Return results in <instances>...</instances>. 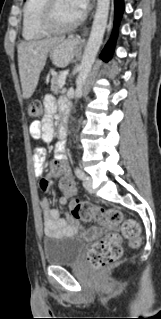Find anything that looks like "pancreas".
Returning <instances> with one entry per match:
<instances>
[{"mask_svg":"<svg viewBox=\"0 0 161 319\" xmlns=\"http://www.w3.org/2000/svg\"><path fill=\"white\" fill-rule=\"evenodd\" d=\"M60 76L61 72L52 74L51 90L54 94H58L60 92Z\"/></svg>","mask_w":161,"mask_h":319,"instance_id":"1","label":"pancreas"}]
</instances>
